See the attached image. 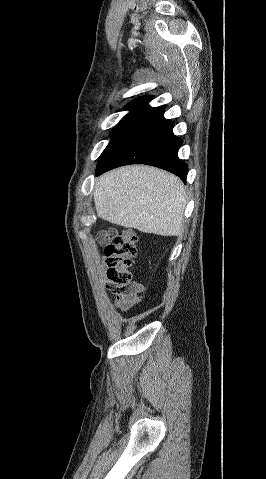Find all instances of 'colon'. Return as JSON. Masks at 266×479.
Listing matches in <instances>:
<instances>
[{"instance_id":"5ec220e1","label":"colon","mask_w":266,"mask_h":479,"mask_svg":"<svg viewBox=\"0 0 266 479\" xmlns=\"http://www.w3.org/2000/svg\"><path fill=\"white\" fill-rule=\"evenodd\" d=\"M105 245L104 256L108 266V287L114 292L128 291L132 285L131 266L137 254V237L133 230L121 234L104 231L99 235Z\"/></svg>"}]
</instances>
